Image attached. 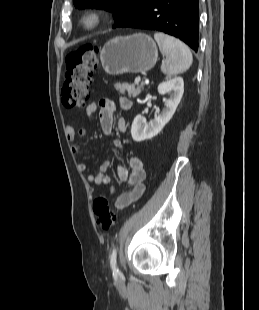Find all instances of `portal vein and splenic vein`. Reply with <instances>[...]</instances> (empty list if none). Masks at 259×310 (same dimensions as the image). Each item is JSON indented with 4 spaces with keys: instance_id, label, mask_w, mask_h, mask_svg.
Returning a JSON list of instances; mask_svg holds the SVG:
<instances>
[{
    "instance_id": "portal-vein-and-splenic-vein-1",
    "label": "portal vein and splenic vein",
    "mask_w": 259,
    "mask_h": 310,
    "mask_svg": "<svg viewBox=\"0 0 259 310\" xmlns=\"http://www.w3.org/2000/svg\"><path fill=\"white\" fill-rule=\"evenodd\" d=\"M140 81H141L140 76H138V77L135 78V83H136V84H138Z\"/></svg>"
}]
</instances>
